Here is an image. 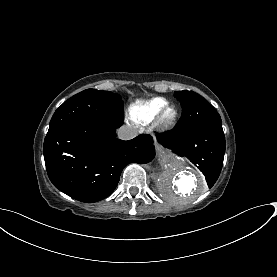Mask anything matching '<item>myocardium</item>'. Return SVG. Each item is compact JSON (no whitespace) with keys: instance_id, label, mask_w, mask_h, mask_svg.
<instances>
[{"instance_id":"1","label":"myocardium","mask_w":277,"mask_h":277,"mask_svg":"<svg viewBox=\"0 0 277 277\" xmlns=\"http://www.w3.org/2000/svg\"><path fill=\"white\" fill-rule=\"evenodd\" d=\"M170 109L173 110V115L170 119H166V112ZM178 115L179 113L176 106H174L173 104H165L157 112L153 121V127L161 132L170 130L176 124L178 120Z\"/></svg>"}]
</instances>
